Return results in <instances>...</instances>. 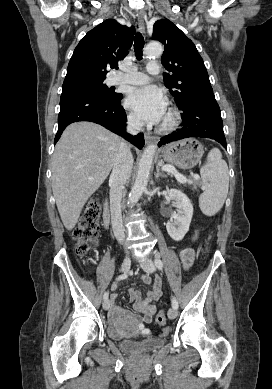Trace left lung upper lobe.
Returning <instances> with one entry per match:
<instances>
[{"label": "left lung upper lobe", "mask_w": 272, "mask_h": 389, "mask_svg": "<svg viewBox=\"0 0 272 389\" xmlns=\"http://www.w3.org/2000/svg\"><path fill=\"white\" fill-rule=\"evenodd\" d=\"M152 38L165 45L161 62L170 73H164V84L179 108L199 96L213 93L202 57L175 24L167 19L156 21Z\"/></svg>", "instance_id": "obj_1"}]
</instances>
